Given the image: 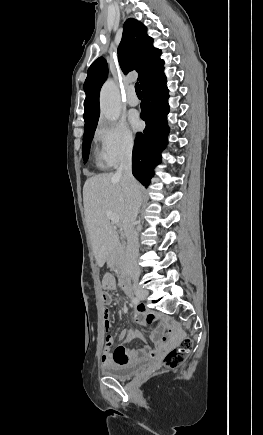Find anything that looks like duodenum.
I'll list each match as a JSON object with an SVG mask.
<instances>
[{
    "instance_id": "410a0bca",
    "label": "duodenum",
    "mask_w": 263,
    "mask_h": 435,
    "mask_svg": "<svg viewBox=\"0 0 263 435\" xmlns=\"http://www.w3.org/2000/svg\"><path fill=\"white\" fill-rule=\"evenodd\" d=\"M120 284L124 288L126 293L128 295H131L132 290H131V287L129 285V280H128V276H127L126 272H121V274H120Z\"/></svg>"
}]
</instances>
